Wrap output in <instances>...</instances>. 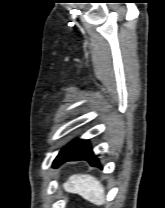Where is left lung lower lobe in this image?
Wrapping results in <instances>:
<instances>
[{"label":"left lung lower lobe","mask_w":165,"mask_h":208,"mask_svg":"<svg viewBox=\"0 0 165 208\" xmlns=\"http://www.w3.org/2000/svg\"><path fill=\"white\" fill-rule=\"evenodd\" d=\"M78 160H86L90 163V165L102 168V166L99 164L97 157L94 155L93 151L91 150L87 140H79V139L75 140L71 148L63 156V158L58 163V165H60L65 161H78Z\"/></svg>","instance_id":"obj_1"}]
</instances>
